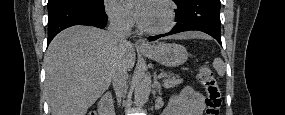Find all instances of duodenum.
Here are the masks:
<instances>
[{
    "mask_svg": "<svg viewBox=\"0 0 285 115\" xmlns=\"http://www.w3.org/2000/svg\"><path fill=\"white\" fill-rule=\"evenodd\" d=\"M99 111L101 115H113V107L111 104V99L108 95L101 98L99 104Z\"/></svg>",
    "mask_w": 285,
    "mask_h": 115,
    "instance_id": "duodenum-1",
    "label": "duodenum"
}]
</instances>
